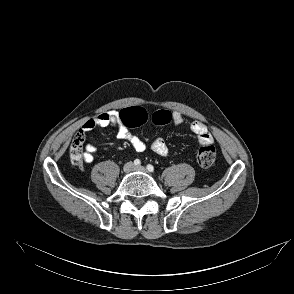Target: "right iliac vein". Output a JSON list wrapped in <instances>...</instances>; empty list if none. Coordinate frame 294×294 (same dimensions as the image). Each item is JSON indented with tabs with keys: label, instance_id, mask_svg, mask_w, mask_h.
I'll return each mask as SVG.
<instances>
[{
	"label": "right iliac vein",
	"instance_id": "63e3f726",
	"mask_svg": "<svg viewBox=\"0 0 294 294\" xmlns=\"http://www.w3.org/2000/svg\"><path fill=\"white\" fill-rule=\"evenodd\" d=\"M134 165L131 162H128L124 165L123 170L125 173H129L133 169Z\"/></svg>",
	"mask_w": 294,
	"mask_h": 294
}]
</instances>
